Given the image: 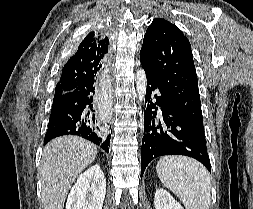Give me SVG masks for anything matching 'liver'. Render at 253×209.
Here are the masks:
<instances>
[{
    "label": "liver",
    "instance_id": "1",
    "mask_svg": "<svg viewBox=\"0 0 253 209\" xmlns=\"http://www.w3.org/2000/svg\"><path fill=\"white\" fill-rule=\"evenodd\" d=\"M96 156L97 147L78 136L50 141L43 150L39 169L43 209H63L73 182Z\"/></svg>",
    "mask_w": 253,
    "mask_h": 209
}]
</instances>
